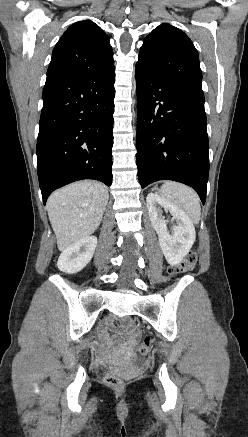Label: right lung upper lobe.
I'll list each match as a JSON object with an SVG mask.
<instances>
[{
    "label": "right lung upper lobe",
    "instance_id": "cb5924a9",
    "mask_svg": "<svg viewBox=\"0 0 248 437\" xmlns=\"http://www.w3.org/2000/svg\"><path fill=\"white\" fill-rule=\"evenodd\" d=\"M114 65L106 33L90 20L72 24L56 44L47 71L54 76H86Z\"/></svg>",
    "mask_w": 248,
    "mask_h": 437
}]
</instances>
